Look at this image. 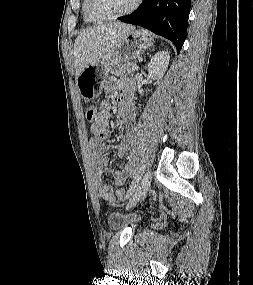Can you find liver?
Returning a JSON list of instances; mask_svg holds the SVG:
<instances>
[{
    "label": "liver",
    "mask_w": 253,
    "mask_h": 285,
    "mask_svg": "<svg viewBox=\"0 0 253 285\" xmlns=\"http://www.w3.org/2000/svg\"><path fill=\"white\" fill-rule=\"evenodd\" d=\"M134 28L129 24L115 22L82 31L74 44L75 77L77 78L85 68L101 58L128 31Z\"/></svg>",
    "instance_id": "liver-1"
}]
</instances>
